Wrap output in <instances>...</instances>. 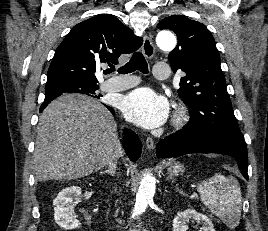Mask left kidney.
I'll use <instances>...</instances> for the list:
<instances>
[{
  "label": "left kidney",
  "mask_w": 268,
  "mask_h": 231,
  "mask_svg": "<svg viewBox=\"0 0 268 231\" xmlns=\"http://www.w3.org/2000/svg\"><path fill=\"white\" fill-rule=\"evenodd\" d=\"M189 220H194L202 225L199 231H215L212 221L206 215L194 209L177 213L173 219V231H187Z\"/></svg>",
  "instance_id": "5707ae66"
}]
</instances>
